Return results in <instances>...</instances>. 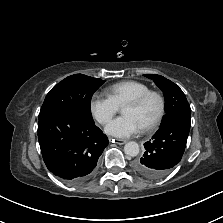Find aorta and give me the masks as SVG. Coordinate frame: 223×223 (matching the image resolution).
<instances>
[{"label": "aorta", "mask_w": 223, "mask_h": 223, "mask_svg": "<svg viewBox=\"0 0 223 223\" xmlns=\"http://www.w3.org/2000/svg\"><path fill=\"white\" fill-rule=\"evenodd\" d=\"M139 151V145L134 141L127 142L124 146V153L130 157L137 156Z\"/></svg>", "instance_id": "obj_1"}]
</instances>
